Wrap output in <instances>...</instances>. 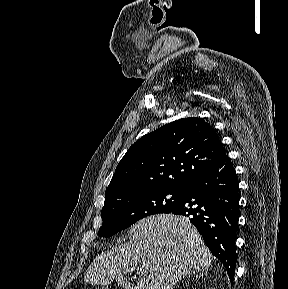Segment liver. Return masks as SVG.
Returning a JSON list of instances; mask_svg holds the SVG:
<instances>
[{"instance_id":"liver-1","label":"liver","mask_w":288,"mask_h":289,"mask_svg":"<svg viewBox=\"0 0 288 289\" xmlns=\"http://www.w3.org/2000/svg\"><path fill=\"white\" fill-rule=\"evenodd\" d=\"M213 256L199 232L182 216L153 215L138 221L129 242L98 255L84 281L109 285L137 268L135 289H173L184 276L207 268Z\"/></svg>"}]
</instances>
